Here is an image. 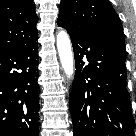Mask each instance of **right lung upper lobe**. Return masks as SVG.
Wrapping results in <instances>:
<instances>
[{"instance_id":"obj_1","label":"right lung upper lobe","mask_w":136,"mask_h":136,"mask_svg":"<svg viewBox=\"0 0 136 136\" xmlns=\"http://www.w3.org/2000/svg\"><path fill=\"white\" fill-rule=\"evenodd\" d=\"M37 22L33 0H0V53L37 37Z\"/></svg>"}]
</instances>
